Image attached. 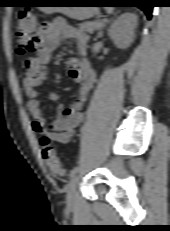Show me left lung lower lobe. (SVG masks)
<instances>
[{
  "label": "left lung lower lobe",
  "mask_w": 170,
  "mask_h": 231,
  "mask_svg": "<svg viewBox=\"0 0 170 231\" xmlns=\"http://www.w3.org/2000/svg\"><path fill=\"white\" fill-rule=\"evenodd\" d=\"M99 3L111 4L114 7H139L148 19H151L153 8L152 0H98Z\"/></svg>",
  "instance_id": "0a47b994"
}]
</instances>
